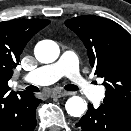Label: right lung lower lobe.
<instances>
[{"instance_id": "98d812e1", "label": "right lung lower lobe", "mask_w": 131, "mask_h": 131, "mask_svg": "<svg viewBox=\"0 0 131 131\" xmlns=\"http://www.w3.org/2000/svg\"><path fill=\"white\" fill-rule=\"evenodd\" d=\"M41 100L33 93L0 92V131H33L36 108Z\"/></svg>"}]
</instances>
